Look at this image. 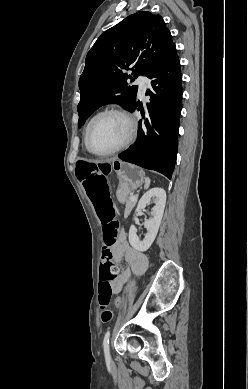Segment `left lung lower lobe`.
Here are the masks:
<instances>
[{
	"label": "left lung lower lobe",
	"mask_w": 248,
	"mask_h": 389,
	"mask_svg": "<svg viewBox=\"0 0 248 389\" xmlns=\"http://www.w3.org/2000/svg\"><path fill=\"white\" fill-rule=\"evenodd\" d=\"M153 91L147 90L150 103L145 109L135 102L128 111H141L138 138L119 155L123 161L155 170L169 179L177 158L179 117L182 108V75L173 44L148 71Z\"/></svg>",
	"instance_id": "0a47b994"
}]
</instances>
